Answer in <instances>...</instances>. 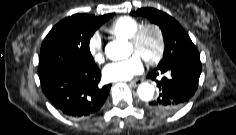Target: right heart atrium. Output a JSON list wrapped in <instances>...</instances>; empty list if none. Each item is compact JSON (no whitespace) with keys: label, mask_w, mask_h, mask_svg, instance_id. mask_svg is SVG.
<instances>
[{"label":"right heart atrium","mask_w":236,"mask_h":135,"mask_svg":"<svg viewBox=\"0 0 236 135\" xmlns=\"http://www.w3.org/2000/svg\"><path fill=\"white\" fill-rule=\"evenodd\" d=\"M88 49L93 59L101 63L105 57L104 40L100 33H93L88 41Z\"/></svg>","instance_id":"1"}]
</instances>
